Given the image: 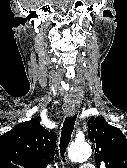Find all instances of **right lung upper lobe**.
<instances>
[{"instance_id": "cb5924a9", "label": "right lung upper lobe", "mask_w": 127, "mask_h": 168, "mask_svg": "<svg viewBox=\"0 0 127 168\" xmlns=\"http://www.w3.org/2000/svg\"><path fill=\"white\" fill-rule=\"evenodd\" d=\"M56 134L38 118L22 122L0 136V168H45L53 158Z\"/></svg>"}]
</instances>
